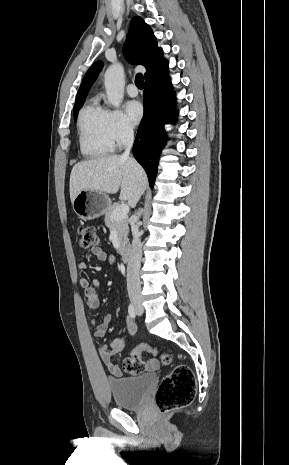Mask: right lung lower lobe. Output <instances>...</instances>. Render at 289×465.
Returning <instances> with one entry per match:
<instances>
[{
  "label": "right lung lower lobe",
  "mask_w": 289,
  "mask_h": 465,
  "mask_svg": "<svg viewBox=\"0 0 289 465\" xmlns=\"http://www.w3.org/2000/svg\"><path fill=\"white\" fill-rule=\"evenodd\" d=\"M144 116L133 146L135 159L145 169L153 187L159 156L165 145L164 124L176 117L175 96L168 75L145 83L143 92Z\"/></svg>",
  "instance_id": "right-lung-lower-lobe-1"
}]
</instances>
